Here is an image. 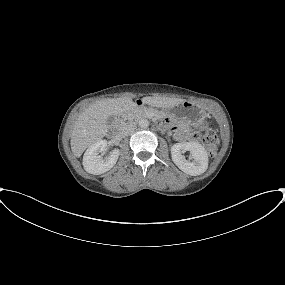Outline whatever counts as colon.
<instances>
[{
  "instance_id": "colon-1",
  "label": "colon",
  "mask_w": 285,
  "mask_h": 285,
  "mask_svg": "<svg viewBox=\"0 0 285 285\" xmlns=\"http://www.w3.org/2000/svg\"><path fill=\"white\" fill-rule=\"evenodd\" d=\"M203 143L207 147L208 153L213 155L218 145V135L215 129L208 128L201 136Z\"/></svg>"
}]
</instances>
